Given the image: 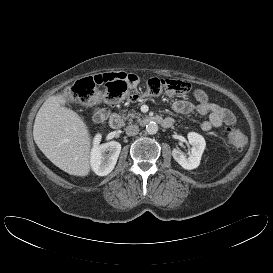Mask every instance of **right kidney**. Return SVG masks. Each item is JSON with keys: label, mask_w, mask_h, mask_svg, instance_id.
Masks as SVG:
<instances>
[{"label": "right kidney", "mask_w": 273, "mask_h": 273, "mask_svg": "<svg viewBox=\"0 0 273 273\" xmlns=\"http://www.w3.org/2000/svg\"><path fill=\"white\" fill-rule=\"evenodd\" d=\"M101 135L94 138V146L91 151L90 162L92 170L98 176H106L114 169L121 151V144L110 141L99 145Z\"/></svg>", "instance_id": "1"}]
</instances>
